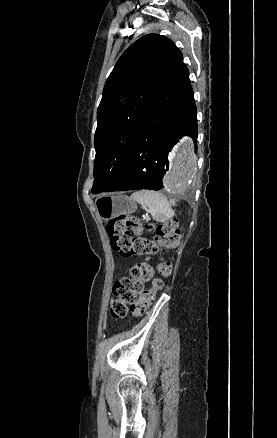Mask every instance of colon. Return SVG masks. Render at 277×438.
I'll return each mask as SVG.
<instances>
[{
    "mask_svg": "<svg viewBox=\"0 0 277 438\" xmlns=\"http://www.w3.org/2000/svg\"><path fill=\"white\" fill-rule=\"evenodd\" d=\"M153 232L151 237L138 236L141 231ZM106 231L112 249L123 258L152 256L167 249H174L181 241L179 224L173 220L158 224H143L130 215L111 218ZM132 232L135 235H132ZM172 263L160 261L157 270L160 278L153 279V266L138 263L131 267L128 277L119 278L114 288L110 311L114 317L125 316L130 310L134 317L142 316L165 286V279L172 273ZM153 279L152 288L142 292L143 284Z\"/></svg>",
    "mask_w": 277,
    "mask_h": 438,
    "instance_id": "5ec220e1",
    "label": "colon"
}]
</instances>
